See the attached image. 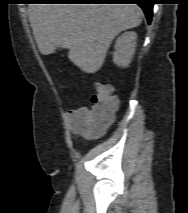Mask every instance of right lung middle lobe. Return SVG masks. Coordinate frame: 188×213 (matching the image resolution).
<instances>
[{"mask_svg":"<svg viewBox=\"0 0 188 213\" xmlns=\"http://www.w3.org/2000/svg\"><path fill=\"white\" fill-rule=\"evenodd\" d=\"M32 2H46V0H32Z\"/></svg>","mask_w":188,"mask_h":213,"instance_id":"obj_1","label":"right lung middle lobe"}]
</instances>
